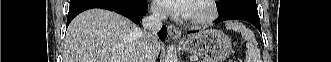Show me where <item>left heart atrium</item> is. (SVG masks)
<instances>
[{
  "label": "left heart atrium",
  "instance_id": "1",
  "mask_svg": "<svg viewBox=\"0 0 331 62\" xmlns=\"http://www.w3.org/2000/svg\"><path fill=\"white\" fill-rule=\"evenodd\" d=\"M156 2L167 12L186 17L190 16L194 3L193 0H157Z\"/></svg>",
  "mask_w": 331,
  "mask_h": 62
}]
</instances>
